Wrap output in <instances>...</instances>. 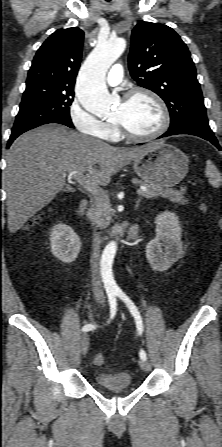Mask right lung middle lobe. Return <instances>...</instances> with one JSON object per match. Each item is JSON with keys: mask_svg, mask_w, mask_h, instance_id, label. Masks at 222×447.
Listing matches in <instances>:
<instances>
[{"mask_svg": "<svg viewBox=\"0 0 222 447\" xmlns=\"http://www.w3.org/2000/svg\"><path fill=\"white\" fill-rule=\"evenodd\" d=\"M74 88L36 86L26 88L12 134L28 131L55 120L71 121Z\"/></svg>", "mask_w": 222, "mask_h": 447, "instance_id": "right-lung-middle-lobe-1", "label": "right lung middle lobe"}]
</instances>
